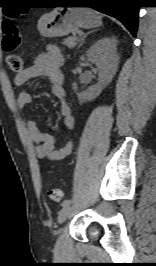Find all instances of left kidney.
Segmentation results:
<instances>
[{
  "label": "left kidney",
  "mask_w": 156,
  "mask_h": 266,
  "mask_svg": "<svg viewBox=\"0 0 156 266\" xmlns=\"http://www.w3.org/2000/svg\"><path fill=\"white\" fill-rule=\"evenodd\" d=\"M116 47L117 40L115 37H103L88 49L87 58L97 66L99 79L97 84L90 86L81 93H77L81 103L92 101L98 97L104 87L111 82L119 62ZM73 89L77 90L76 84L73 85Z\"/></svg>",
  "instance_id": "1"
}]
</instances>
